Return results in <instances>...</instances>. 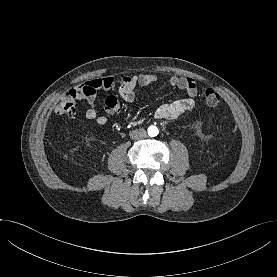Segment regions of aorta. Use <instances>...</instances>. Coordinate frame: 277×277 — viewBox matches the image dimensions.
Segmentation results:
<instances>
[{"label":"aorta","instance_id":"aorta-1","mask_svg":"<svg viewBox=\"0 0 277 277\" xmlns=\"http://www.w3.org/2000/svg\"><path fill=\"white\" fill-rule=\"evenodd\" d=\"M158 133H159V130H158V128L156 126H150L148 128V134H149V136L154 137V136H157Z\"/></svg>","mask_w":277,"mask_h":277}]
</instances>
